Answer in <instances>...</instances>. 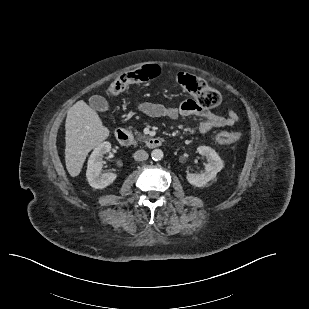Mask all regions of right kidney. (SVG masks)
Returning <instances> with one entry per match:
<instances>
[{
	"label": "right kidney",
	"mask_w": 309,
	"mask_h": 309,
	"mask_svg": "<svg viewBox=\"0 0 309 309\" xmlns=\"http://www.w3.org/2000/svg\"><path fill=\"white\" fill-rule=\"evenodd\" d=\"M110 150L111 143L106 141L100 143L89 157L86 177L90 186L95 189H103L113 183L117 178L115 173H101L104 154Z\"/></svg>",
	"instance_id": "right-kidney-1"
}]
</instances>
